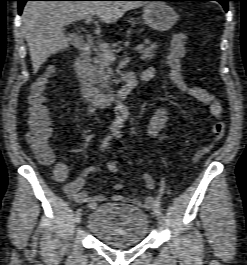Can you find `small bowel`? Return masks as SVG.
<instances>
[{
    "label": "small bowel",
    "instance_id": "small-bowel-1",
    "mask_svg": "<svg viewBox=\"0 0 247 265\" xmlns=\"http://www.w3.org/2000/svg\"><path fill=\"white\" fill-rule=\"evenodd\" d=\"M155 75V70L153 68L147 69L141 75V80L146 81L151 79ZM213 95V94H212ZM84 109L88 115H91L94 111V104L87 98L84 100ZM207 111L211 113L215 118H219L221 115L222 107L216 96L213 95V102L207 105ZM168 122V110L165 106H161L152 116L148 124L149 135L158 140L162 141L166 137L163 130ZM114 131L117 132V126L114 127ZM99 170L98 166H89L85 168L80 175L74 180L68 181L64 184V193L69 199L76 203L84 204L94 202L96 204L104 201L105 197L102 195H90L87 191L83 190L86 178ZM64 174L59 175L60 179H63ZM143 181L147 189H153L155 186L154 178L149 174L143 175ZM123 186L121 184H116L113 187L115 194L112 196V200L116 202H130L132 204L138 205L145 209L152 208L154 204V197L147 196L143 201H138L136 199L125 198L119 193L122 191Z\"/></svg>",
    "mask_w": 247,
    "mask_h": 265
}]
</instances>
